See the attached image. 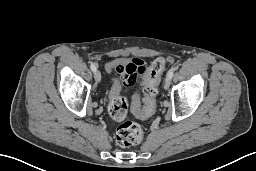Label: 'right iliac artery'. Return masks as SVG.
Instances as JSON below:
<instances>
[{"label": "right iliac artery", "mask_w": 256, "mask_h": 171, "mask_svg": "<svg viewBox=\"0 0 256 171\" xmlns=\"http://www.w3.org/2000/svg\"><path fill=\"white\" fill-rule=\"evenodd\" d=\"M90 68L93 72L96 71V65L94 63H91Z\"/></svg>", "instance_id": "obj_1"}]
</instances>
